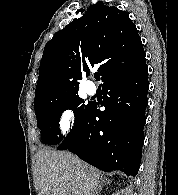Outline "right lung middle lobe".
I'll return each mask as SVG.
<instances>
[{"label": "right lung middle lobe", "mask_w": 178, "mask_h": 195, "mask_svg": "<svg viewBox=\"0 0 178 195\" xmlns=\"http://www.w3.org/2000/svg\"><path fill=\"white\" fill-rule=\"evenodd\" d=\"M84 100L81 99L78 93L68 95L58 99L48 100L37 107H35V114L37 118V126L42 133V142L54 145L61 142L63 136L60 134L59 120L63 111L67 109H75V125L71 132L65 138L70 140L76 130L78 121L82 116L88 111L91 103H83ZM57 135H60L58 138Z\"/></svg>", "instance_id": "right-lung-middle-lobe-1"}]
</instances>
